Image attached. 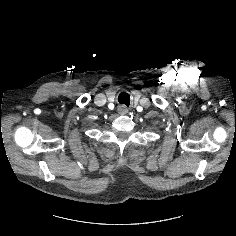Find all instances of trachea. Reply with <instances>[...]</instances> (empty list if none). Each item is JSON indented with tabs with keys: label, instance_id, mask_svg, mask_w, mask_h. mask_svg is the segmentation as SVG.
Listing matches in <instances>:
<instances>
[{
	"label": "trachea",
	"instance_id": "3493384b",
	"mask_svg": "<svg viewBox=\"0 0 236 236\" xmlns=\"http://www.w3.org/2000/svg\"><path fill=\"white\" fill-rule=\"evenodd\" d=\"M118 101L120 104H125L126 106H129L130 104V96L128 93H121L118 96Z\"/></svg>",
	"mask_w": 236,
	"mask_h": 236
}]
</instances>
